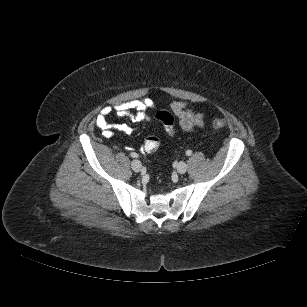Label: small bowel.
Returning a JSON list of instances; mask_svg holds the SVG:
<instances>
[{
  "label": "small bowel",
  "instance_id": "obj_1",
  "mask_svg": "<svg viewBox=\"0 0 307 307\" xmlns=\"http://www.w3.org/2000/svg\"><path fill=\"white\" fill-rule=\"evenodd\" d=\"M153 108L154 102L150 98L133 100L114 107L107 106L98 113L95 118V124L106 138L112 137L116 131L129 135L133 131L130 125L126 123L111 125L109 123L108 117L111 113L115 111L117 115L139 123L148 119V112ZM170 109L178 118L179 125L183 131L192 132L204 126L205 117L201 113L190 109L186 102L173 101L170 104Z\"/></svg>",
  "mask_w": 307,
  "mask_h": 307
}]
</instances>
